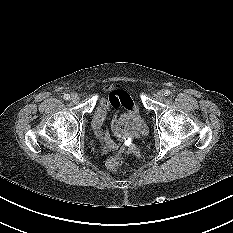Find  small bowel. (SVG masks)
<instances>
[{
	"instance_id": "small-bowel-1",
	"label": "small bowel",
	"mask_w": 233,
	"mask_h": 233,
	"mask_svg": "<svg viewBox=\"0 0 233 233\" xmlns=\"http://www.w3.org/2000/svg\"><path fill=\"white\" fill-rule=\"evenodd\" d=\"M105 89L110 91L109 95L107 98L100 100L92 118V125L97 136L101 139L105 136V120L111 110L116 111L123 107L130 112H137V106L127 92L110 87H106ZM107 146L111 149L117 148V145L112 141H108Z\"/></svg>"
}]
</instances>
